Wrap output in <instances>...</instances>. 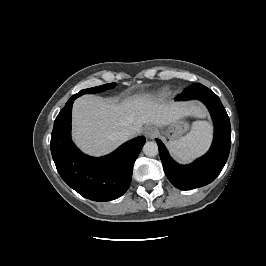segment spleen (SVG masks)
<instances>
[{
  "mask_svg": "<svg viewBox=\"0 0 266 266\" xmlns=\"http://www.w3.org/2000/svg\"><path fill=\"white\" fill-rule=\"evenodd\" d=\"M212 138V128L207 121H196L191 131L167 143L169 151L179 160L188 162L204 154Z\"/></svg>",
  "mask_w": 266,
  "mask_h": 266,
  "instance_id": "obj_1",
  "label": "spleen"
}]
</instances>
